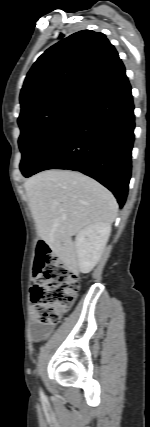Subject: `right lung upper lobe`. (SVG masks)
I'll use <instances>...</instances> for the list:
<instances>
[{"instance_id": "1", "label": "right lung upper lobe", "mask_w": 150, "mask_h": 427, "mask_svg": "<svg viewBox=\"0 0 150 427\" xmlns=\"http://www.w3.org/2000/svg\"><path fill=\"white\" fill-rule=\"evenodd\" d=\"M123 75L125 67L103 33H74L46 50L28 72L20 94V117L48 105L80 106Z\"/></svg>"}]
</instances>
